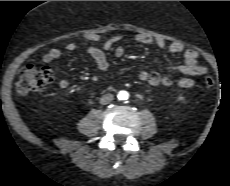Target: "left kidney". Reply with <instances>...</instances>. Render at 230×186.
Masks as SVG:
<instances>
[{
	"mask_svg": "<svg viewBox=\"0 0 230 186\" xmlns=\"http://www.w3.org/2000/svg\"><path fill=\"white\" fill-rule=\"evenodd\" d=\"M178 99H179V101H184V97L183 96H179Z\"/></svg>",
	"mask_w": 230,
	"mask_h": 186,
	"instance_id": "5707ae66",
	"label": "left kidney"
}]
</instances>
